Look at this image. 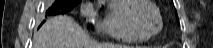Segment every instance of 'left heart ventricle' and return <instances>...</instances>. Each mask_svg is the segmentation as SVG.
Returning <instances> with one entry per match:
<instances>
[{"mask_svg":"<svg viewBox=\"0 0 213 48\" xmlns=\"http://www.w3.org/2000/svg\"><path fill=\"white\" fill-rule=\"evenodd\" d=\"M140 29L145 33H151L158 29L159 23L155 11L146 5H141L134 14Z\"/></svg>","mask_w":213,"mask_h":48,"instance_id":"b2bd125f","label":"left heart ventricle"}]
</instances>
